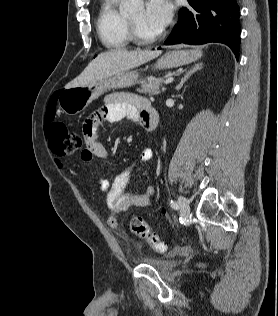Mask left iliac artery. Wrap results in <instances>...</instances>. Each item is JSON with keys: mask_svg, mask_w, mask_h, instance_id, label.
Listing matches in <instances>:
<instances>
[{"mask_svg": "<svg viewBox=\"0 0 278 316\" xmlns=\"http://www.w3.org/2000/svg\"><path fill=\"white\" fill-rule=\"evenodd\" d=\"M170 205H171V207H172L173 209H178V205H177V203H176L175 201L171 200V201H170Z\"/></svg>", "mask_w": 278, "mask_h": 316, "instance_id": "left-iliac-artery-1", "label": "left iliac artery"}]
</instances>
